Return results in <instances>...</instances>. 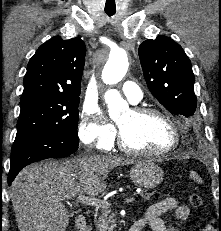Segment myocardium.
<instances>
[{
  "mask_svg": "<svg viewBox=\"0 0 221 231\" xmlns=\"http://www.w3.org/2000/svg\"><path fill=\"white\" fill-rule=\"evenodd\" d=\"M131 111L137 117H143L147 115H157L165 119L170 124L173 130L174 141H173V144L169 148L163 151L154 152V151L138 149L127 143L124 137V133L119 127L118 146L120 147V149L130 154L161 158V157L168 156L169 154L174 152L179 147L180 140H181L180 130H179L176 120L171 114H169L168 112L160 108L151 107V106H136V107H133Z\"/></svg>",
  "mask_w": 221,
  "mask_h": 231,
  "instance_id": "obj_1",
  "label": "myocardium"
}]
</instances>
